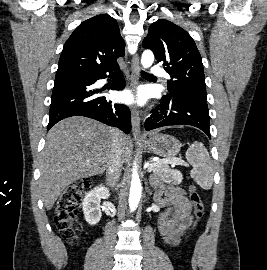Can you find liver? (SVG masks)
I'll return each instance as SVG.
<instances>
[{
    "instance_id": "obj_1",
    "label": "liver",
    "mask_w": 267,
    "mask_h": 270,
    "mask_svg": "<svg viewBox=\"0 0 267 270\" xmlns=\"http://www.w3.org/2000/svg\"><path fill=\"white\" fill-rule=\"evenodd\" d=\"M114 134V128L81 116L66 118L51 128L41 156L39 179L47 210L68 185L107 169ZM120 143L125 163L130 157V138L122 134Z\"/></svg>"
}]
</instances>
